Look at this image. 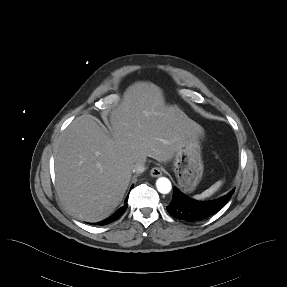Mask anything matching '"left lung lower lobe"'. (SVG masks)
Segmentation results:
<instances>
[{
	"label": "left lung lower lobe",
	"mask_w": 287,
	"mask_h": 287,
	"mask_svg": "<svg viewBox=\"0 0 287 287\" xmlns=\"http://www.w3.org/2000/svg\"><path fill=\"white\" fill-rule=\"evenodd\" d=\"M233 193L234 190L219 199L202 202L190 199L177 188H174L173 197L167 206V211L177 219L186 221L202 220L221 209Z\"/></svg>",
	"instance_id": "obj_1"
}]
</instances>
